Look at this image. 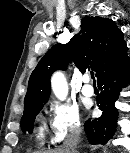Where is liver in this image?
I'll return each mask as SVG.
<instances>
[{"label":"liver","mask_w":130,"mask_h":153,"mask_svg":"<svg viewBox=\"0 0 130 153\" xmlns=\"http://www.w3.org/2000/svg\"><path fill=\"white\" fill-rule=\"evenodd\" d=\"M43 153H66V152L63 149H56V150L45 151Z\"/></svg>","instance_id":"1"}]
</instances>
